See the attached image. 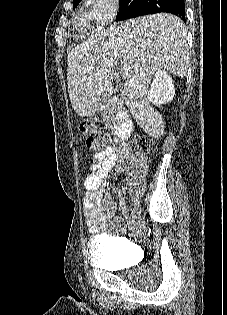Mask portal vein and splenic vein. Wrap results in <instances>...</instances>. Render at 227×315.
I'll use <instances>...</instances> for the list:
<instances>
[{"instance_id":"1","label":"portal vein and splenic vein","mask_w":227,"mask_h":315,"mask_svg":"<svg viewBox=\"0 0 227 315\" xmlns=\"http://www.w3.org/2000/svg\"><path fill=\"white\" fill-rule=\"evenodd\" d=\"M105 64L108 66H113V63L111 61H106ZM128 70H129V68H127V67L121 68V72H123V73H126Z\"/></svg>"}]
</instances>
